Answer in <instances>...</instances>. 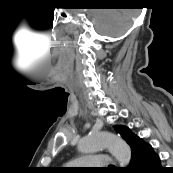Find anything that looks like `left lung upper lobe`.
<instances>
[{"label": "left lung upper lobe", "instance_id": "5c2ea615", "mask_svg": "<svg viewBox=\"0 0 173 173\" xmlns=\"http://www.w3.org/2000/svg\"><path fill=\"white\" fill-rule=\"evenodd\" d=\"M115 129H117L119 134L126 140L128 144H130L132 138L134 137V134L131 133L127 127L116 126Z\"/></svg>", "mask_w": 173, "mask_h": 173}]
</instances>
